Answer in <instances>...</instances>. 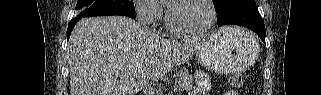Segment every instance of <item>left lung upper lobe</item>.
<instances>
[{
	"instance_id": "left-lung-upper-lobe-1",
	"label": "left lung upper lobe",
	"mask_w": 321,
	"mask_h": 95,
	"mask_svg": "<svg viewBox=\"0 0 321 95\" xmlns=\"http://www.w3.org/2000/svg\"><path fill=\"white\" fill-rule=\"evenodd\" d=\"M228 0H213L216 12L219 11Z\"/></svg>"
}]
</instances>
